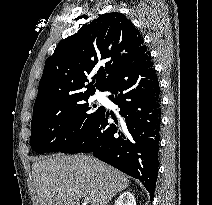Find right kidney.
Listing matches in <instances>:
<instances>
[{
	"label": "right kidney",
	"mask_w": 212,
	"mask_h": 205,
	"mask_svg": "<svg viewBox=\"0 0 212 205\" xmlns=\"http://www.w3.org/2000/svg\"><path fill=\"white\" fill-rule=\"evenodd\" d=\"M114 205H136L135 197L130 192H124L118 197Z\"/></svg>",
	"instance_id": "obj_1"
}]
</instances>
